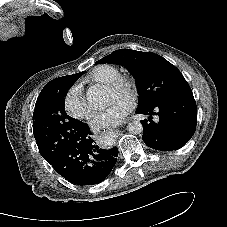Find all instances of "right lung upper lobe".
I'll return each instance as SVG.
<instances>
[{"instance_id": "cb5924a9", "label": "right lung upper lobe", "mask_w": 227, "mask_h": 227, "mask_svg": "<svg viewBox=\"0 0 227 227\" xmlns=\"http://www.w3.org/2000/svg\"><path fill=\"white\" fill-rule=\"evenodd\" d=\"M45 88L42 89L41 93L44 91Z\"/></svg>"}]
</instances>
